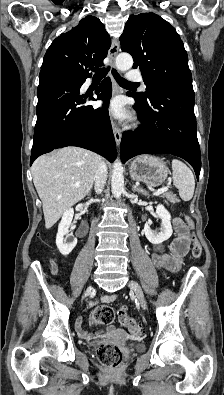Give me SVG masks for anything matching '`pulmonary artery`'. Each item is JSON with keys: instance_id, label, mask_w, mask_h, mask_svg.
Returning a JSON list of instances; mask_svg holds the SVG:
<instances>
[{"instance_id": "obj_1", "label": "pulmonary artery", "mask_w": 224, "mask_h": 395, "mask_svg": "<svg viewBox=\"0 0 224 395\" xmlns=\"http://www.w3.org/2000/svg\"><path fill=\"white\" fill-rule=\"evenodd\" d=\"M127 76L130 81H141V75L137 70H129Z\"/></svg>"}]
</instances>
